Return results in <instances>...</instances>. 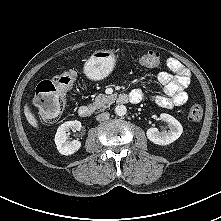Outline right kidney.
I'll use <instances>...</instances> for the list:
<instances>
[{
	"mask_svg": "<svg viewBox=\"0 0 221 221\" xmlns=\"http://www.w3.org/2000/svg\"><path fill=\"white\" fill-rule=\"evenodd\" d=\"M81 127V122L77 120L67 121L58 127L55 135V144L60 154L68 156L80 149L81 142L78 140H68L67 132L70 129L79 131Z\"/></svg>",
	"mask_w": 221,
	"mask_h": 221,
	"instance_id": "1",
	"label": "right kidney"
}]
</instances>
